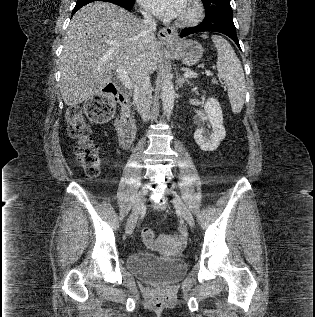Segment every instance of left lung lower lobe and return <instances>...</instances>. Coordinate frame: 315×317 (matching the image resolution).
<instances>
[{
	"instance_id": "left-lung-lower-lobe-1",
	"label": "left lung lower lobe",
	"mask_w": 315,
	"mask_h": 317,
	"mask_svg": "<svg viewBox=\"0 0 315 317\" xmlns=\"http://www.w3.org/2000/svg\"><path fill=\"white\" fill-rule=\"evenodd\" d=\"M203 31H214V32L223 33L229 36L240 48L239 41L236 35V28L233 22V18H223L217 21H210V20L204 19L201 24L195 27L183 29L180 36L184 37L196 32H203Z\"/></svg>"
}]
</instances>
